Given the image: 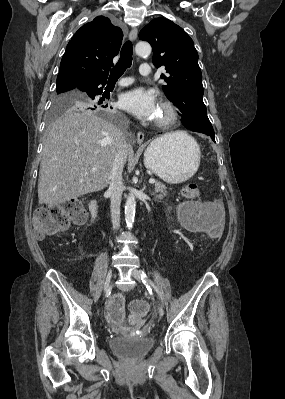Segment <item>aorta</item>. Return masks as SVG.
Listing matches in <instances>:
<instances>
[{"mask_svg":"<svg viewBox=\"0 0 285 399\" xmlns=\"http://www.w3.org/2000/svg\"><path fill=\"white\" fill-rule=\"evenodd\" d=\"M136 54L148 56L151 53V46L147 42H138L135 47ZM136 200L133 193H130L125 203V221L128 228H132L135 218Z\"/></svg>","mask_w":285,"mask_h":399,"instance_id":"aorta-1","label":"aorta"}]
</instances>
